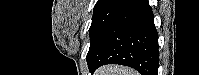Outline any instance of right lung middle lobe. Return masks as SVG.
Listing matches in <instances>:
<instances>
[{"mask_svg": "<svg viewBox=\"0 0 199 75\" xmlns=\"http://www.w3.org/2000/svg\"><path fill=\"white\" fill-rule=\"evenodd\" d=\"M128 0H112L94 7L92 24L89 28L90 48L86 57L89 61L93 51L98 46L106 29L116 15L124 8Z\"/></svg>", "mask_w": 199, "mask_h": 75, "instance_id": "obj_1", "label": "right lung middle lobe"}]
</instances>
